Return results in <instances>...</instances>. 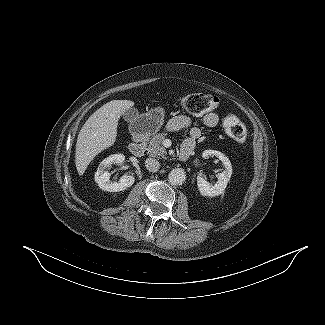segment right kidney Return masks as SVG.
Segmentation results:
<instances>
[{"mask_svg": "<svg viewBox=\"0 0 325 325\" xmlns=\"http://www.w3.org/2000/svg\"><path fill=\"white\" fill-rule=\"evenodd\" d=\"M125 160L123 154H114L105 158L99 165L97 172L95 173V181L98 186L108 192H119L131 187L135 181L132 175H124L120 178L118 182H111V174L105 171L107 167L112 164H122Z\"/></svg>", "mask_w": 325, "mask_h": 325, "instance_id": "ca27d5eb", "label": "right kidney"}]
</instances>
